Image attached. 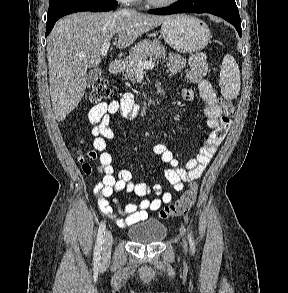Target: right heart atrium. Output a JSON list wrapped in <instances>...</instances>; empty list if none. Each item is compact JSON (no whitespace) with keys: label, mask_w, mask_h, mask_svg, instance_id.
<instances>
[{"label":"right heart atrium","mask_w":288,"mask_h":293,"mask_svg":"<svg viewBox=\"0 0 288 293\" xmlns=\"http://www.w3.org/2000/svg\"><path fill=\"white\" fill-rule=\"evenodd\" d=\"M119 2L125 3V4H130L135 2L136 0H118Z\"/></svg>","instance_id":"d8ad5b80"}]
</instances>
